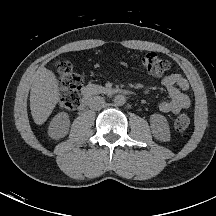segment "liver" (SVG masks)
<instances>
[{
  "label": "liver",
  "instance_id": "obj_1",
  "mask_svg": "<svg viewBox=\"0 0 216 216\" xmlns=\"http://www.w3.org/2000/svg\"><path fill=\"white\" fill-rule=\"evenodd\" d=\"M60 99L58 80L54 73L40 66L33 76L30 109L34 122L42 125Z\"/></svg>",
  "mask_w": 216,
  "mask_h": 216
}]
</instances>
